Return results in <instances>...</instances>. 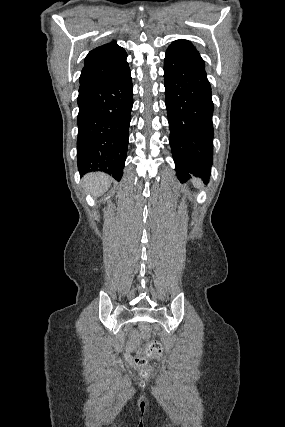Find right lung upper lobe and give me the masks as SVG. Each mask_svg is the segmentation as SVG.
<instances>
[{"label":"right lung upper lobe","mask_w":285,"mask_h":427,"mask_svg":"<svg viewBox=\"0 0 285 427\" xmlns=\"http://www.w3.org/2000/svg\"><path fill=\"white\" fill-rule=\"evenodd\" d=\"M126 58L125 50L118 46L115 41L90 51L85 58V65L79 79V89L127 73L130 70Z\"/></svg>","instance_id":"right-lung-upper-lobe-1"}]
</instances>
